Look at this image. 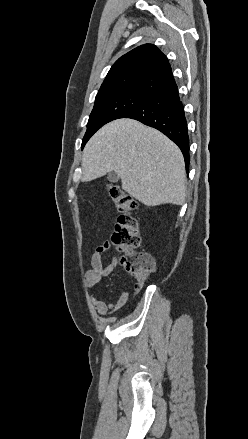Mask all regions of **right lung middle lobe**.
<instances>
[{
    "label": "right lung middle lobe",
    "mask_w": 248,
    "mask_h": 439,
    "mask_svg": "<svg viewBox=\"0 0 248 439\" xmlns=\"http://www.w3.org/2000/svg\"><path fill=\"white\" fill-rule=\"evenodd\" d=\"M148 97L146 94L137 92H117L96 98L94 108L87 123V131L82 140V148L90 137L104 124L120 118Z\"/></svg>",
    "instance_id": "obj_1"
}]
</instances>
